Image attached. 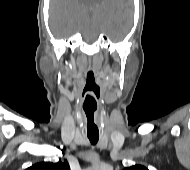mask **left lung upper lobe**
<instances>
[{
	"mask_svg": "<svg viewBox=\"0 0 190 170\" xmlns=\"http://www.w3.org/2000/svg\"><path fill=\"white\" fill-rule=\"evenodd\" d=\"M123 170H148V169L142 165H134L131 167H126Z\"/></svg>",
	"mask_w": 190,
	"mask_h": 170,
	"instance_id": "left-lung-upper-lobe-1",
	"label": "left lung upper lobe"
}]
</instances>
